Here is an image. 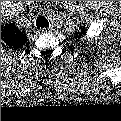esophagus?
Returning <instances> with one entry per match:
<instances>
[{
  "instance_id": "1",
  "label": "esophagus",
  "mask_w": 121,
  "mask_h": 121,
  "mask_svg": "<svg viewBox=\"0 0 121 121\" xmlns=\"http://www.w3.org/2000/svg\"><path fill=\"white\" fill-rule=\"evenodd\" d=\"M41 30H42V32H45V31H47V29H46V28H42Z\"/></svg>"
}]
</instances>
